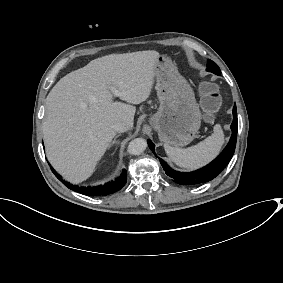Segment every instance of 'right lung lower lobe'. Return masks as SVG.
Wrapping results in <instances>:
<instances>
[{"mask_svg": "<svg viewBox=\"0 0 283 283\" xmlns=\"http://www.w3.org/2000/svg\"><path fill=\"white\" fill-rule=\"evenodd\" d=\"M52 172L55 174V176L69 189L79 192L84 195L88 196H100V195H108L112 194L118 190H120L127 182V174L126 170H122V174L120 177L115 179V181L109 182L103 186H97V187H78L74 186L66 181H64L60 175H58L53 168H51Z\"/></svg>", "mask_w": 283, "mask_h": 283, "instance_id": "right-lung-lower-lobe-1", "label": "right lung lower lobe"}]
</instances>
